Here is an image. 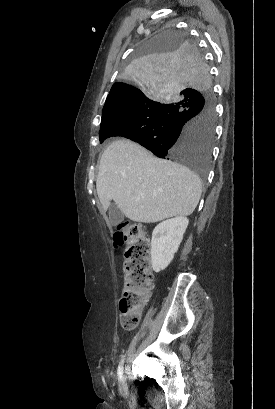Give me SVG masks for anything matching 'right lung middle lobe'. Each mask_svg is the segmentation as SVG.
Here are the masks:
<instances>
[{
	"mask_svg": "<svg viewBox=\"0 0 275 409\" xmlns=\"http://www.w3.org/2000/svg\"><path fill=\"white\" fill-rule=\"evenodd\" d=\"M122 66L125 85L146 90L102 113L100 143L123 136L173 164L209 177L214 139L212 85L204 55L187 34L161 30ZM204 187L203 183L199 184Z\"/></svg>",
	"mask_w": 275,
	"mask_h": 409,
	"instance_id": "obj_1",
	"label": "right lung middle lobe"
}]
</instances>
